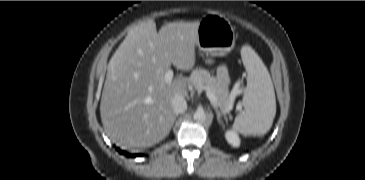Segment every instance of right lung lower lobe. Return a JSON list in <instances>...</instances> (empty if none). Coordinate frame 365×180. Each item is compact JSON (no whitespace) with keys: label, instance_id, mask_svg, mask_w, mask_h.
<instances>
[{"label":"right lung lower lobe","instance_id":"right-lung-lower-lobe-1","mask_svg":"<svg viewBox=\"0 0 365 180\" xmlns=\"http://www.w3.org/2000/svg\"><path fill=\"white\" fill-rule=\"evenodd\" d=\"M117 150H118L121 154H124V155H126V156H133V157L140 156L139 154H133V155L128 154V153H126L125 151L120 150L119 148H117Z\"/></svg>","mask_w":365,"mask_h":180}]
</instances>
